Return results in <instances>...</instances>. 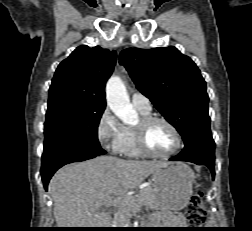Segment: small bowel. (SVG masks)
Returning a JSON list of instances; mask_svg holds the SVG:
<instances>
[{
	"label": "small bowel",
	"instance_id": "1",
	"mask_svg": "<svg viewBox=\"0 0 252 231\" xmlns=\"http://www.w3.org/2000/svg\"><path fill=\"white\" fill-rule=\"evenodd\" d=\"M175 220L178 227H183V217L181 215H177L175 217ZM179 229H180L179 231H184L183 230L184 228H179Z\"/></svg>",
	"mask_w": 252,
	"mask_h": 231
}]
</instances>
